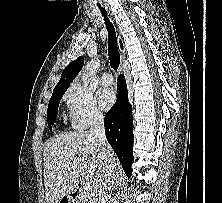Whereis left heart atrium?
<instances>
[{"instance_id":"39dd6f15","label":"left heart atrium","mask_w":222,"mask_h":203,"mask_svg":"<svg viewBox=\"0 0 222 203\" xmlns=\"http://www.w3.org/2000/svg\"><path fill=\"white\" fill-rule=\"evenodd\" d=\"M98 99L102 108L109 109L114 104L116 95L113 90L109 88H103L98 92Z\"/></svg>"}]
</instances>
